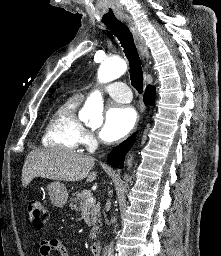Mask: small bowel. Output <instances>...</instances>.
<instances>
[{"instance_id": "small-bowel-1", "label": "small bowel", "mask_w": 221, "mask_h": 256, "mask_svg": "<svg viewBox=\"0 0 221 256\" xmlns=\"http://www.w3.org/2000/svg\"><path fill=\"white\" fill-rule=\"evenodd\" d=\"M56 253L58 256H69L64 243L59 239H46L40 243V255L52 256Z\"/></svg>"}]
</instances>
